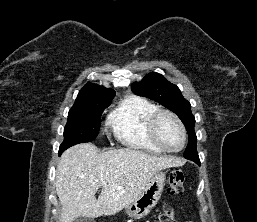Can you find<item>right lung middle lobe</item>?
Masks as SVG:
<instances>
[{"label":"right lung middle lobe","mask_w":257,"mask_h":222,"mask_svg":"<svg viewBox=\"0 0 257 222\" xmlns=\"http://www.w3.org/2000/svg\"><path fill=\"white\" fill-rule=\"evenodd\" d=\"M111 100H95L75 103L69 110L68 121L64 128V141L59 155L67 148L94 140L100 129L101 115Z\"/></svg>","instance_id":"dd1d6c3e"}]
</instances>
